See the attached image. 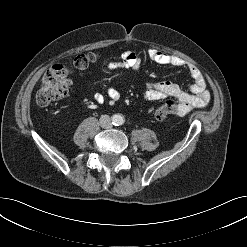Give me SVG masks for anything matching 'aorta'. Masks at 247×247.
<instances>
[{
    "label": "aorta",
    "instance_id": "aorta-1",
    "mask_svg": "<svg viewBox=\"0 0 247 247\" xmlns=\"http://www.w3.org/2000/svg\"><path fill=\"white\" fill-rule=\"evenodd\" d=\"M117 123L120 125L124 123V118L121 115L117 116Z\"/></svg>",
    "mask_w": 247,
    "mask_h": 247
}]
</instances>
